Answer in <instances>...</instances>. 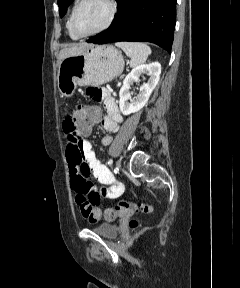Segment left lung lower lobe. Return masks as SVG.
I'll return each instance as SVG.
<instances>
[{
    "instance_id": "left-lung-lower-lobe-1",
    "label": "left lung lower lobe",
    "mask_w": 240,
    "mask_h": 288,
    "mask_svg": "<svg viewBox=\"0 0 240 288\" xmlns=\"http://www.w3.org/2000/svg\"><path fill=\"white\" fill-rule=\"evenodd\" d=\"M177 0H116L111 26L87 40L105 44L117 41L151 42L171 53Z\"/></svg>"
}]
</instances>
